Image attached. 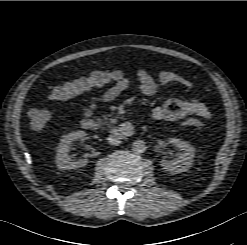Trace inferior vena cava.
Segmentation results:
<instances>
[{"label":"inferior vena cava","mask_w":247,"mask_h":245,"mask_svg":"<svg viewBox=\"0 0 247 245\" xmlns=\"http://www.w3.org/2000/svg\"><path fill=\"white\" fill-rule=\"evenodd\" d=\"M108 142L113 146H118L121 143V140L115 135H109Z\"/></svg>","instance_id":"1"}]
</instances>
